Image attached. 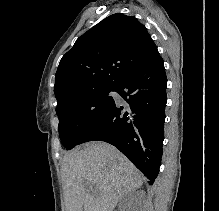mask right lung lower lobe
Here are the masks:
<instances>
[{"label": "right lung lower lobe", "instance_id": "obj_1", "mask_svg": "<svg viewBox=\"0 0 219 211\" xmlns=\"http://www.w3.org/2000/svg\"><path fill=\"white\" fill-rule=\"evenodd\" d=\"M167 78L161 56L127 74L115 87L109 112L79 140L105 141L125 154L153 183L158 175L164 139Z\"/></svg>", "mask_w": 219, "mask_h": 211}]
</instances>
